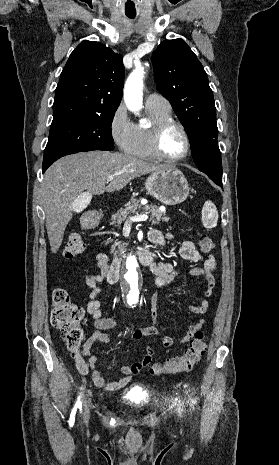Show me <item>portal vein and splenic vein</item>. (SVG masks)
I'll list each match as a JSON object with an SVG mask.
<instances>
[{
	"label": "portal vein and splenic vein",
	"instance_id": "1",
	"mask_svg": "<svg viewBox=\"0 0 279 465\" xmlns=\"http://www.w3.org/2000/svg\"><path fill=\"white\" fill-rule=\"evenodd\" d=\"M113 179H114V176H109L108 177V181H112ZM80 197L87 198V197H90V194L89 193H83L82 195H80ZM147 219H148L147 214L135 215V216H132V217L129 218V220L132 221V222H141V221H146Z\"/></svg>",
	"mask_w": 279,
	"mask_h": 465
}]
</instances>
